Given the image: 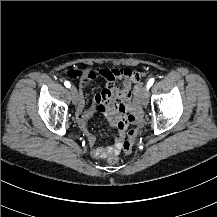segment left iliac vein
Segmentation results:
<instances>
[{
    "mask_svg": "<svg viewBox=\"0 0 217 217\" xmlns=\"http://www.w3.org/2000/svg\"><path fill=\"white\" fill-rule=\"evenodd\" d=\"M140 102L144 107L148 105V90L145 87L140 92Z\"/></svg>",
    "mask_w": 217,
    "mask_h": 217,
    "instance_id": "4c4485c4",
    "label": "left iliac vein"
}]
</instances>
